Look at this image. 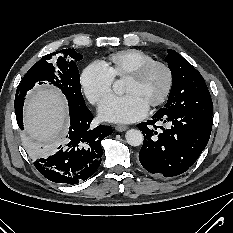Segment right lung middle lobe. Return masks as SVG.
<instances>
[{
    "mask_svg": "<svg viewBox=\"0 0 233 233\" xmlns=\"http://www.w3.org/2000/svg\"><path fill=\"white\" fill-rule=\"evenodd\" d=\"M82 58L83 56L77 53L75 49H63L44 56L34 64L20 82L15 95V108L23 106L24 97L28 90L32 89L36 83L39 85L45 84V81L62 90L68 100L69 107L81 108L86 106L81 93L79 71L76 66V63ZM34 147V143L28 145V149ZM54 148L55 146H49L44 151L48 153Z\"/></svg>",
    "mask_w": 233,
    "mask_h": 233,
    "instance_id": "obj_1",
    "label": "right lung middle lobe"
}]
</instances>
